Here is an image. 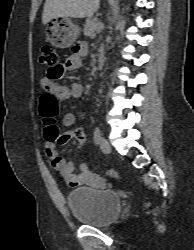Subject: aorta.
<instances>
[{"instance_id": "aorta-1", "label": "aorta", "mask_w": 194, "mask_h": 250, "mask_svg": "<svg viewBox=\"0 0 194 250\" xmlns=\"http://www.w3.org/2000/svg\"><path fill=\"white\" fill-rule=\"evenodd\" d=\"M116 9H118V0H117V3H116Z\"/></svg>"}]
</instances>
